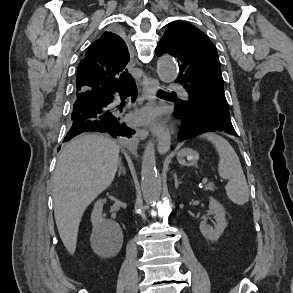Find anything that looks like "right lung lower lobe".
Segmentation results:
<instances>
[{
	"label": "right lung lower lobe",
	"mask_w": 293,
	"mask_h": 293,
	"mask_svg": "<svg viewBox=\"0 0 293 293\" xmlns=\"http://www.w3.org/2000/svg\"><path fill=\"white\" fill-rule=\"evenodd\" d=\"M117 93L120 94L122 98L131 95L134 101L137 95L134 81L120 89L98 88L77 91L73 112L71 114L73 123L64 138V142L87 131L104 132L115 138L119 136L129 138L134 134V130L121 122L118 112L109 107V104H111L114 99V95Z\"/></svg>",
	"instance_id": "98d812e1"
}]
</instances>
